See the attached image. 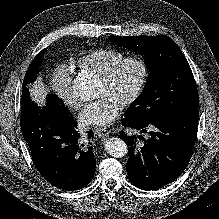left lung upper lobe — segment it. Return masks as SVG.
Segmentation results:
<instances>
[{
	"mask_svg": "<svg viewBox=\"0 0 219 219\" xmlns=\"http://www.w3.org/2000/svg\"><path fill=\"white\" fill-rule=\"evenodd\" d=\"M109 38L119 46L143 54L150 71L145 88L131 103L125 118L143 122L198 111L194 76L185 56L171 38L166 35Z\"/></svg>",
	"mask_w": 219,
	"mask_h": 219,
	"instance_id": "5c2ea615",
	"label": "left lung upper lobe"
}]
</instances>
